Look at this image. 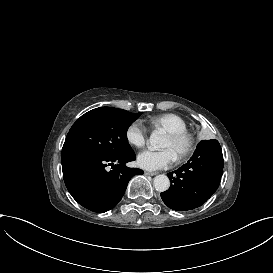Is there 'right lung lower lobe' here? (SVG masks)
I'll list each match as a JSON object with an SVG mask.
<instances>
[{
    "instance_id": "right-lung-lower-lobe-1",
    "label": "right lung lower lobe",
    "mask_w": 273,
    "mask_h": 273,
    "mask_svg": "<svg viewBox=\"0 0 273 273\" xmlns=\"http://www.w3.org/2000/svg\"><path fill=\"white\" fill-rule=\"evenodd\" d=\"M133 160L135 154L132 150L117 156L71 157L62 161L65 185L81 206L104 213L121 200L129 180L136 174H143L140 169L125 166Z\"/></svg>"
}]
</instances>
